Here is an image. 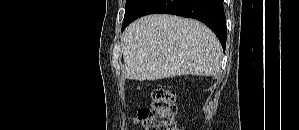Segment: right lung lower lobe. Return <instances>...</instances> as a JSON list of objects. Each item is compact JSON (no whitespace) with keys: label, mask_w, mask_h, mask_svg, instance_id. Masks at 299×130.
Returning <instances> with one entry per match:
<instances>
[{"label":"right lung lower lobe","mask_w":299,"mask_h":130,"mask_svg":"<svg viewBox=\"0 0 299 130\" xmlns=\"http://www.w3.org/2000/svg\"><path fill=\"white\" fill-rule=\"evenodd\" d=\"M155 13L173 14L203 22L216 34L225 50L226 17L222 0H147L135 13L131 22L141 16Z\"/></svg>","instance_id":"obj_1"}]
</instances>
